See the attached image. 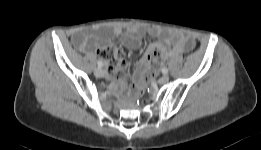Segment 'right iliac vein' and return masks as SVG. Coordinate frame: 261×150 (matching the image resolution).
Masks as SVG:
<instances>
[{
    "instance_id": "obj_1",
    "label": "right iliac vein",
    "mask_w": 261,
    "mask_h": 150,
    "mask_svg": "<svg viewBox=\"0 0 261 150\" xmlns=\"http://www.w3.org/2000/svg\"><path fill=\"white\" fill-rule=\"evenodd\" d=\"M94 74H95L96 77L101 78V77L104 76V71L101 68H96L94 70Z\"/></svg>"
}]
</instances>
